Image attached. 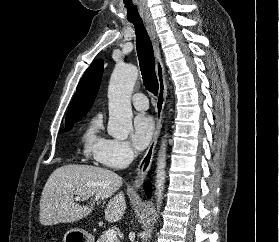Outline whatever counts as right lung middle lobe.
Wrapping results in <instances>:
<instances>
[{
    "mask_svg": "<svg viewBox=\"0 0 279 242\" xmlns=\"http://www.w3.org/2000/svg\"><path fill=\"white\" fill-rule=\"evenodd\" d=\"M73 124L74 123H65L66 126L65 131H69L72 128Z\"/></svg>",
    "mask_w": 279,
    "mask_h": 242,
    "instance_id": "right-lung-middle-lobe-1",
    "label": "right lung middle lobe"
}]
</instances>
